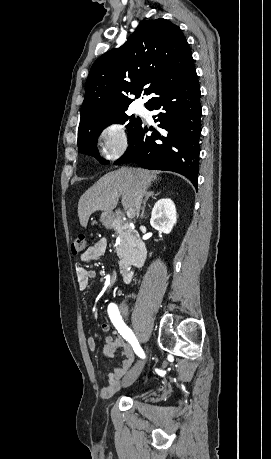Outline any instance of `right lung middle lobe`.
<instances>
[{
	"mask_svg": "<svg viewBox=\"0 0 271 459\" xmlns=\"http://www.w3.org/2000/svg\"><path fill=\"white\" fill-rule=\"evenodd\" d=\"M128 122L126 128L129 130L130 135L142 124L140 118H134V116H128L125 112L98 117L93 119H88L80 122L78 129V148L79 151L83 154H88L100 161V163L105 164L108 161H105L100 157L97 150V138L102 132V130L112 123L123 124Z\"/></svg>",
	"mask_w": 271,
	"mask_h": 459,
	"instance_id": "obj_1",
	"label": "right lung middle lobe"
}]
</instances>
